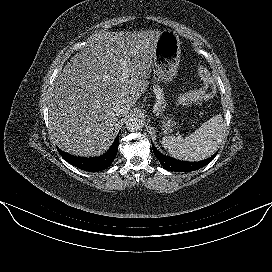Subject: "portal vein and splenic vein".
Returning <instances> with one entry per match:
<instances>
[{
  "instance_id": "18ae733b",
  "label": "portal vein and splenic vein",
  "mask_w": 272,
  "mask_h": 272,
  "mask_svg": "<svg viewBox=\"0 0 272 272\" xmlns=\"http://www.w3.org/2000/svg\"><path fill=\"white\" fill-rule=\"evenodd\" d=\"M123 65H124V66H123V68H124V69H123V77H124V78H128V71L125 69V63H123Z\"/></svg>"
}]
</instances>
